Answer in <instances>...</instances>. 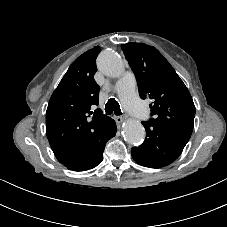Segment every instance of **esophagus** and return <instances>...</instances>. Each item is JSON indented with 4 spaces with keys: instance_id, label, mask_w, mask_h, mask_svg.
<instances>
[{
    "instance_id": "1",
    "label": "esophagus",
    "mask_w": 227,
    "mask_h": 227,
    "mask_svg": "<svg viewBox=\"0 0 227 227\" xmlns=\"http://www.w3.org/2000/svg\"><path fill=\"white\" fill-rule=\"evenodd\" d=\"M115 121L118 125L122 124L124 121V118L121 116H115Z\"/></svg>"
}]
</instances>
